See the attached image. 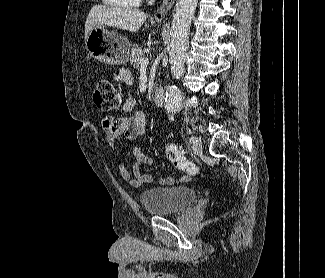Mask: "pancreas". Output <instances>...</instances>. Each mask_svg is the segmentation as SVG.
<instances>
[{
    "instance_id": "1",
    "label": "pancreas",
    "mask_w": 325,
    "mask_h": 278,
    "mask_svg": "<svg viewBox=\"0 0 325 278\" xmlns=\"http://www.w3.org/2000/svg\"><path fill=\"white\" fill-rule=\"evenodd\" d=\"M144 57L142 49L136 44L131 48L130 51V63L135 69H138L140 66L141 59Z\"/></svg>"
}]
</instances>
